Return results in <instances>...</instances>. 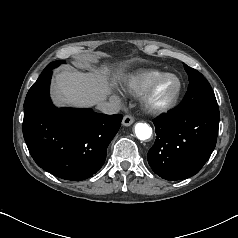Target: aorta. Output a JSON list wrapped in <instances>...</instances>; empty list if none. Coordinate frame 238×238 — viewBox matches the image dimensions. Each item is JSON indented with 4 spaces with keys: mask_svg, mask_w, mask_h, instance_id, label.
Here are the masks:
<instances>
[{
    "mask_svg": "<svg viewBox=\"0 0 238 238\" xmlns=\"http://www.w3.org/2000/svg\"><path fill=\"white\" fill-rule=\"evenodd\" d=\"M134 129H135V134L137 138L140 140H143V141L147 140L152 135V128L147 123H142V122L136 123Z\"/></svg>",
    "mask_w": 238,
    "mask_h": 238,
    "instance_id": "aorta-1",
    "label": "aorta"
}]
</instances>
